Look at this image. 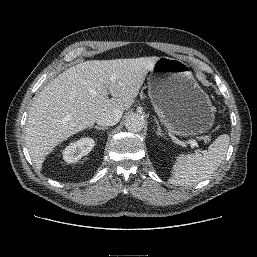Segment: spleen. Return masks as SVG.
Masks as SVG:
<instances>
[{
  "instance_id": "spleen-1",
  "label": "spleen",
  "mask_w": 257,
  "mask_h": 257,
  "mask_svg": "<svg viewBox=\"0 0 257 257\" xmlns=\"http://www.w3.org/2000/svg\"><path fill=\"white\" fill-rule=\"evenodd\" d=\"M229 142V135L222 134L209 146L205 155L180 154L173 165L172 176L168 183L192 186L209 178L223 162Z\"/></svg>"
}]
</instances>
